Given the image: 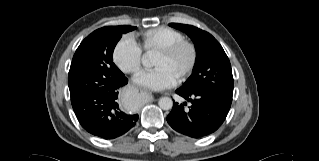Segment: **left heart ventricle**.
Listing matches in <instances>:
<instances>
[{
	"label": "left heart ventricle",
	"instance_id": "1",
	"mask_svg": "<svg viewBox=\"0 0 319 161\" xmlns=\"http://www.w3.org/2000/svg\"><path fill=\"white\" fill-rule=\"evenodd\" d=\"M189 56V50L183 48L168 58L156 54L153 59V64L164 67L174 78H177L187 65Z\"/></svg>",
	"mask_w": 319,
	"mask_h": 161
}]
</instances>
